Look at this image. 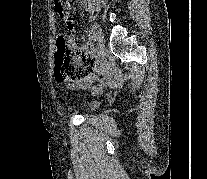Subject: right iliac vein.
Listing matches in <instances>:
<instances>
[{
    "label": "right iliac vein",
    "mask_w": 207,
    "mask_h": 179,
    "mask_svg": "<svg viewBox=\"0 0 207 179\" xmlns=\"http://www.w3.org/2000/svg\"><path fill=\"white\" fill-rule=\"evenodd\" d=\"M93 33L98 44V54L102 56L105 50L103 33L101 28L95 22L93 23Z\"/></svg>",
    "instance_id": "63e3f726"
}]
</instances>
